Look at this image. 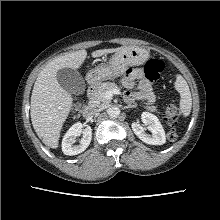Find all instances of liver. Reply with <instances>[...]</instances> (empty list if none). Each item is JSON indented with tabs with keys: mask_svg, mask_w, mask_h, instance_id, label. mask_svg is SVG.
<instances>
[{
	"mask_svg": "<svg viewBox=\"0 0 220 220\" xmlns=\"http://www.w3.org/2000/svg\"><path fill=\"white\" fill-rule=\"evenodd\" d=\"M122 48L100 49L91 55L96 58ZM86 57L84 49L58 57L41 70L35 81L30 108L32 125L36 134L53 149L58 147L61 129L73 105L72 96L57 80V72L62 68H80Z\"/></svg>",
	"mask_w": 220,
	"mask_h": 220,
	"instance_id": "obj_1",
	"label": "liver"
}]
</instances>
